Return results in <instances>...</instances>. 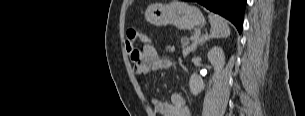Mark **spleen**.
Returning a JSON list of instances; mask_svg holds the SVG:
<instances>
[{"mask_svg": "<svg viewBox=\"0 0 305 116\" xmlns=\"http://www.w3.org/2000/svg\"><path fill=\"white\" fill-rule=\"evenodd\" d=\"M208 17L211 24V38H226L230 35V27L223 17L213 13L209 14Z\"/></svg>", "mask_w": 305, "mask_h": 116, "instance_id": "3e777b00", "label": "spleen"}]
</instances>
